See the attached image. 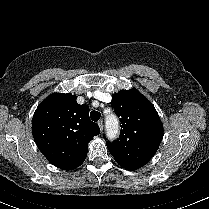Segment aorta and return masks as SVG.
<instances>
[{
    "instance_id": "aorta-1",
    "label": "aorta",
    "mask_w": 209,
    "mask_h": 209,
    "mask_svg": "<svg viewBox=\"0 0 209 209\" xmlns=\"http://www.w3.org/2000/svg\"><path fill=\"white\" fill-rule=\"evenodd\" d=\"M106 134L111 140L115 139L119 134V121L114 114L106 118Z\"/></svg>"
}]
</instances>
